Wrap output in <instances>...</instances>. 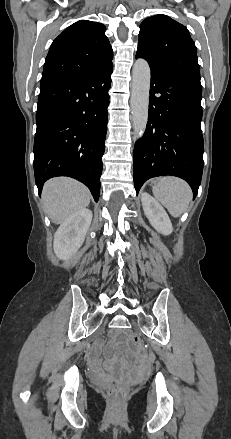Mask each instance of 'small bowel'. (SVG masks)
Listing matches in <instances>:
<instances>
[{"instance_id": "1", "label": "small bowel", "mask_w": 231, "mask_h": 439, "mask_svg": "<svg viewBox=\"0 0 231 439\" xmlns=\"http://www.w3.org/2000/svg\"><path fill=\"white\" fill-rule=\"evenodd\" d=\"M92 368L94 370V372L98 375V376H103L104 372L102 369V365H101V360L98 357V355H94L93 359H92ZM139 369L142 371H145L147 369V366L144 363H140L139 364Z\"/></svg>"}]
</instances>
